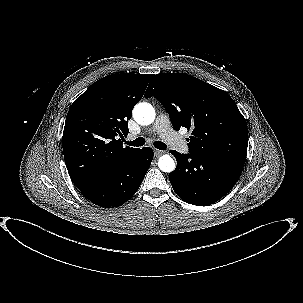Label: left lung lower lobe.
I'll return each mask as SVG.
<instances>
[{
  "instance_id": "1",
  "label": "left lung lower lobe",
  "mask_w": 303,
  "mask_h": 303,
  "mask_svg": "<svg viewBox=\"0 0 303 303\" xmlns=\"http://www.w3.org/2000/svg\"><path fill=\"white\" fill-rule=\"evenodd\" d=\"M169 181L178 196L189 204L208 206L227 194L238 181L245 160L220 155L181 154Z\"/></svg>"
}]
</instances>
